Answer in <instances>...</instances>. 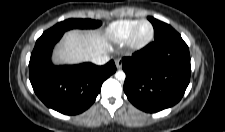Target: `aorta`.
Returning <instances> with one entry per match:
<instances>
[{"label":"aorta","mask_w":225,"mask_h":132,"mask_svg":"<svg viewBox=\"0 0 225 132\" xmlns=\"http://www.w3.org/2000/svg\"><path fill=\"white\" fill-rule=\"evenodd\" d=\"M115 78L117 79V80H119V81H124L125 80V78H126V75H125V72L124 71H117L116 73H115Z\"/></svg>","instance_id":"1"}]
</instances>
